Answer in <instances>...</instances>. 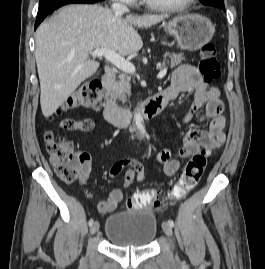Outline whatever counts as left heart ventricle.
<instances>
[{
  "mask_svg": "<svg viewBox=\"0 0 265 269\" xmlns=\"http://www.w3.org/2000/svg\"><path fill=\"white\" fill-rule=\"evenodd\" d=\"M154 1L159 2V3H166V4H176L184 0H154Z\"/></svg>",
  "mask_w": 265,
  "mask_h": 269,
  "instance_id": "obj_1",
  "label": "left heart ventricle"
}]
</instances>
